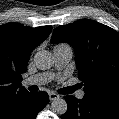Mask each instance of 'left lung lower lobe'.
<instances>
[{"instance_id": "0a47b994", "label": "left lung lower lobe", "mask_w": 119, "mask_h": 119, "mask_svg": "<svg viewBox=\"0 0 119 119\" xmlns=\"http://www.w3.org/2000/svg\"><path fill=\"white\" fill-rule=\"evenodd\" d=\"M68 109L62 119H119V103L105 101L89 95L78 100L65 97Z\"/></svg>"}]
</instances>
